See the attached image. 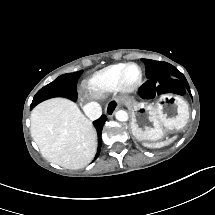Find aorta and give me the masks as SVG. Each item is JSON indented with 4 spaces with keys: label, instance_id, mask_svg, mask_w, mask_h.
Masks as SVG:
<instances>
[{
    "label": "aorta",
    "instance_id": "1",
    "mask_svg": "<svg viewBox=\"0 0 215 215\" xmlns=\"http://www.w3.org/2000/svg\"><path fill=\"white\" fill-rule=\"evenodd\" d=\"M115 117L118 121H127L128 120V114L124 110H119L115 113Z\"/></svg>",
    "mask_w": 215,
    "mask_h": 215
}]
</instances>
